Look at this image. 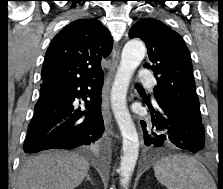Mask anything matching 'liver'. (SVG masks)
<instances>
[{"mask_svg":"<svg viewBox=\"0 0 223 189\" xmlns=\"http://www.w3.org/2000/svg\"><path fill=\"white\" fill-rule=\"evenodd\" d=\"M89 162L76 153L50 151L28 159L17 189H74L88 174Z\"/></svg>","mask_w":223,"mask_h":189,"instance_id":"1","label":"liver"}]
</instances>
